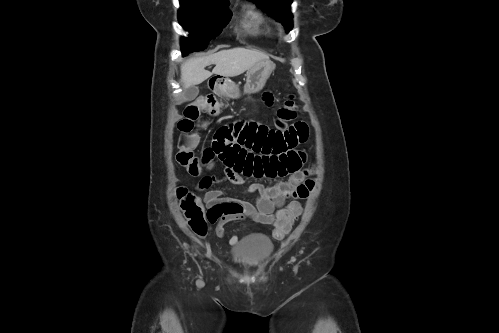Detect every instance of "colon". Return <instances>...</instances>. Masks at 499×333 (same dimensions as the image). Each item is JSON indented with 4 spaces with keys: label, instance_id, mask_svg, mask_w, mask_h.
Masks as SVG:
<instances>
[{
    "label": "colon",
    "instance_id": "1",
    "mask_svg": "<svg viewBox=\"0 0 499 333\" xmlns=\"http://www.w3.org/2000/svg\"><path fill=\"white\" fill-rule=\"evenodd\" d=\"M200 105L188 107L185 117L178 123L181 137L176 160L193 176L199 175L203 167L201 159L194 154V149L198 143V136L194 133V122L199 116ZM297 112L298 108L294 97H288L276 111L275 126L279 129L286 128L296 118ZM177 197L191 230L200 236L207 234L211 222L208 211L205 210L199 197L185 188L178 189ZM301 213L302 206L298 201H292L281 208L276 214L273 236L276 239H282L291 230Z\"/></svg>",
    "mask_w": 499,
    "mask_h": 333
}]
</instances>
